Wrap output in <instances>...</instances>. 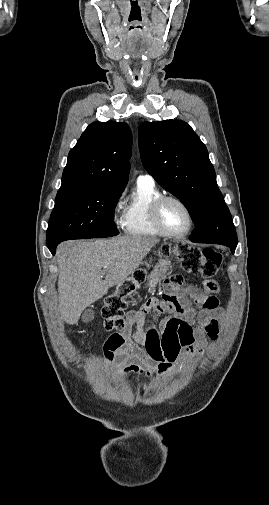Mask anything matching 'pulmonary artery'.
<instances>
[{
    "label": "pulmonary artery",
    "mask_w": 269,
    "mask_h": 505,
    "mask_svg": "<svg viewBox=\"0 0 269 505\" xmlns=\"http://www.w3.org/2000/svg\"><path fill=\"white\" fill-rule=\"evenodd\" d=\"M137 182H146V183L154 184V179L149 174H141V175H139Z\"/></svg>",
    "instance_id": "pulmonary-artery-1"
}]
</instances>
